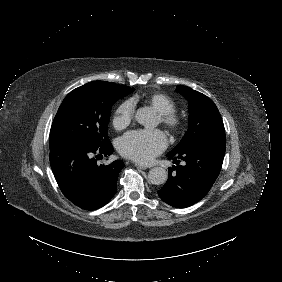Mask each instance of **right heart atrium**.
<instances>
[{"label": "right heart atrium", "instance_id": "1", "mask_svg": "<svg viewBox=\"0 0 282 282\" xmlns=\"http://www.w3.org/2000/svg\"><path fill=\"white\" fill-rule=\"evenodd\" d=\"M133 109L130 103L121 105L114 117V125L117 128H122L128 125L132 119Z\"/></svg>", "mask_w": 282, "mask_h": 282}]
</instances>
